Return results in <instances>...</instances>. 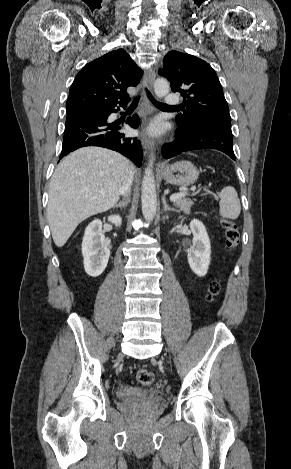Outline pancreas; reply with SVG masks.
I'll use <instances>...</instances> for the list:
<instances>
[{"mask_svg":"<svg viewBox=\"0 0 291 469\" xmlns=\"http://www.w3.org/2000/svg\"><path fill=\"white\" fill-rule=\"evenodd\" d=\"M174 205L183 211L186 214L190 213V208L193 205V202L187 198H180L179 200L174 202Z\"/></svg>","mask_w":291,"mask_h":469,"instance_id":"obj_1","label":"pancreas"}]
</instances>
